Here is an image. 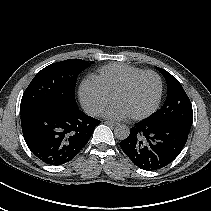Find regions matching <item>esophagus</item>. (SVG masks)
Segmentation results:
<instances>
[{
	"label": "esophagus",
	"instance_id": "34e87169",
	"mask_svg": "<svg viewBox=\"0 0 211 211\" xmlns=\"http://www.w3.org/2000/svg\"><path fill=\"white\" fill-rule=\"evenodd\" d=\"M105 124L108 125V126H111V127H114L117 125L116 122H112V121H105Z\"/></svg>",
	"mask_w": 211,
	"mask_h": 211
}]
</instances>
